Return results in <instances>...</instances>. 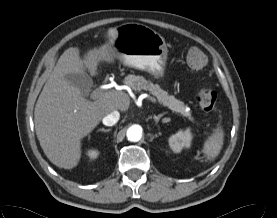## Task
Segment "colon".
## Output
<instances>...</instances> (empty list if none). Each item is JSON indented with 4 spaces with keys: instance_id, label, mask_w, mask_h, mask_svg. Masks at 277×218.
<instances>
[{
    "instance_id": "obj_1",
    "label": "colon",
    "mask_w": 277,
    "mask_h": 218,
    "mask_svg": "<svg viewBox=\"0 0 277 218\" xmlns=\"http://www.w3.org/2000/svg\"><path fill=\"white\" fill-rule=\"evenodd\" d=\"M207 64L205 53L198 47H192L186 54V65L192 72H198L204 69ZM197 100L200 107L206 111H213L217 104V93L212 88H201L197 94Z\"/></svg>"
}]
</instances>
